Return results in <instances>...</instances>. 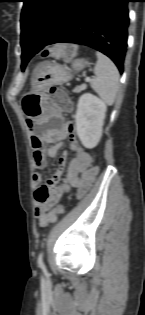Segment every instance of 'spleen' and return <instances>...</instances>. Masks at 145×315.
<instances>
[{"mask_svg":"<svg viewBox=\"0 0 145 315\" xmlns=\"http://www.w3.org/2000/svg\"><path fill=\"white\" fill-rule=\"evenodd\" d=\"M96 55L97 63L94 68L96 77L90 81V85L106 104L112 105L119 90V72L107 56L100 52Z\"/></svg>","mask_w":145,"mask_h":315,"instance_id":"spleen-1","label":"spleen"}]
</instances>
